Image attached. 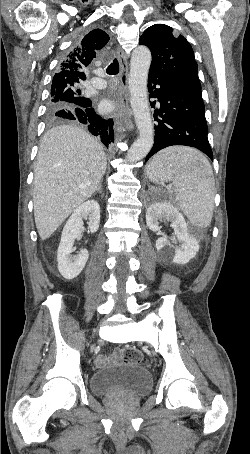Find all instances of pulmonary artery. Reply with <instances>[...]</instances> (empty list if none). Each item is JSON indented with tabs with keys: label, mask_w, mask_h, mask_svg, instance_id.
<instances>
[{
	"label": "pulmonary artery",
	"mask_w": 250,
	"mask_h": 454,
	"mask_svg": "<svg viewBox=\"0 0 250 454\" xmlns=\"http://www.w3.org/2000/svg\"><path fill=\"white\" fill-rule=\"evenodd\" d=\"M90 83L95 87V88H98V89H103L107 86V82L100 78V77H93L91 80H90Z\"/></svg>",
	"instance_id": "pulmonary-artery-1"
}]
</instances>
